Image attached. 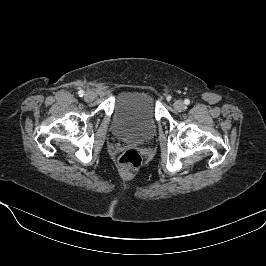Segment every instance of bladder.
Returning <instances> with one entry per match:
<instances>
[{"label":"bladder","instance_id":"obj_1","mask_svg":"<svg viewBox=\"0 0 266 266\" xmlns=\"http://www.w3.org/2000/svg\"><path fill=\"white\" fill-rule=\"evenodd\" d=\"M155 99L146 91L122 93L112 116V130L121 140L144 143L156 133Z\"/></svg>","mask_w":266,"mask_h":266}]
</instances>
